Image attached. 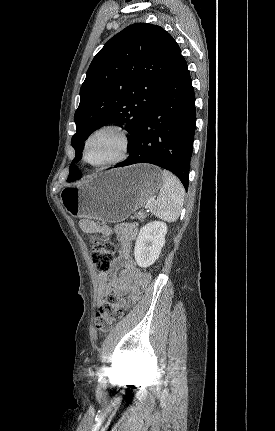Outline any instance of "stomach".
Returning <instances> with one entry per match:
<instances>
[{"label": "stomach", "mask_w": 275, "mask_h": 431, "mask_svg": "<svg viewBox=\"0 0 275 431\" xmlns=\"http://www.w3.org/2000/svg\"><path fill=\"white\" fill-rule=\"evenodd\" d=\"M162 183L158 167L137 164L106 171L78 186H67L60 198L73 217L116 223L144 206Z\"/></svg>", "instance_id": "stomach-1"}]
</instances>
